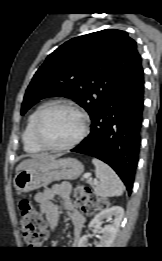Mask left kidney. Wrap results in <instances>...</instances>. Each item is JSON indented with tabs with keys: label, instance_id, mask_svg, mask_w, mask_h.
Returning a JSON list of instances; mask_svg holds the SVG:
<instances>
[{
	"label": "left kidney",
	"instance_id": "obj_1",
	"mask_svg": "<svg viewBox=\"0 0 162 261\" xmlns=\"http://www.w3.org/2000/svg\"><path fill=\"white\" fill-rule=\"evenodd\" d=\"M123 215L124 209L122 207L113 206L102 210L91 220L89 227L100 224L104 219L110 222V224L101 228L100 233L102 236L100 237V241L95 243L97 248H107L111 246L118 232ZM87 246L88 239L87 236L84 235L79 239L78 247L85 248Z\"/></svg>",
	"mask_w": 162,
	"mask_h": 261
}]
</instances>
